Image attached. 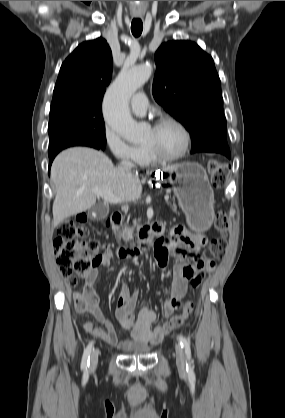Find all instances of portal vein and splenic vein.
I'll list each match as a JSON object with an SVG mask.
<instances>
[{"instance_id": "obj_1", "label": "portal vein and splenic vein", "mask_w": 285, "mask_h": 418, "mask_svg": "<svg viewBox=\"0 0 285 418\" xmlns=\"http://www.w3.org/2000/svg\"><path fill=\"white\" fill-rule=\"evenodd\" d=\"M94 192L100 196L104 201L109 202V203H113V204H118V203H123L125 202L124 200H122L121 198L113 195L110 191L108 190H100V189H95ZM169 197H165V200L168 201Z\"/></svg>"}]
</instances>
